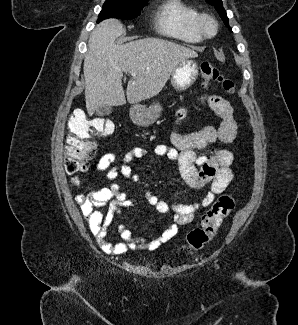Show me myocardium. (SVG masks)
<instances>
[{"label":"myocardium","mask_w":298,"mask_h":325,"mask_svg":"<svg viewBox=\"0 0 298 325\" xmlns=\"http://www.w3.org/2000/svg\"><path fill=\"white\" fill-rule=\"evenodd\" d=\"M196 27L202 37L206 39L213 37L217 31L216 25L213 23L211 17L205 14L199 15Z\"/></svg>","instance_id":"f54148a6"}]
</instances>
